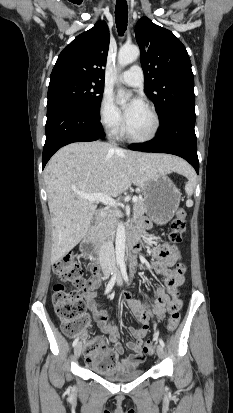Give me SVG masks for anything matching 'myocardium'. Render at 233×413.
Here are the masks:
<instances>
[{
  "label": "myocardium",
  "instance_id": "f54148a6",
  "mask_svg": "<svg viewBox=\"0 0 233 413\" xmlns=\"http://www.w3.org/2000/svg\"><path fill=\"white\" fill-rule=\"evenodd\" d=\"M143 106L149 111V113L152 117L153 127H152L151 132L147 136L136 137V136H133L132 134H130V132L128 130L127 122H126L125 126H124V135H125V137L128 141L133 142V143H147V142H150V141L154 140L157 137V135L160 131V126H161L160 118H159L158 112L156 111L155 107L152 104L148 103V102H144Z\"/></svg>",
  "mask_w": 233,
  "mask_h": 413
}]
</instances>
